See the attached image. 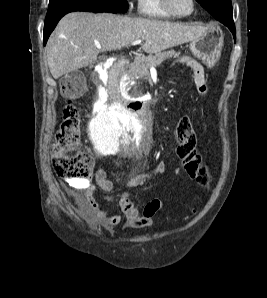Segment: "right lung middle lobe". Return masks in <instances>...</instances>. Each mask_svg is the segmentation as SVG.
Returning <instances> with one entry per match:
<instances>
[{"label": "right lung middle lobe", "instance_id": "obj_1", "mask_svg": "<svg viewBox=\"0 0 267 298\" xmlns=\"http://www.w3.org/2000/svg\"><path fill=\"white\" fill-rule=\"evenodd\" d=\"M74 8H89L98 12L125 13L127 0H49L46 22Z\"/></svg>", "mask_w": 267, "mask_h": 298}]
</instances>
